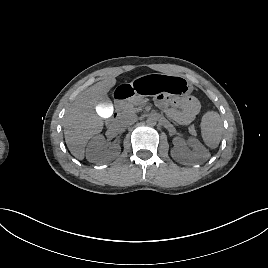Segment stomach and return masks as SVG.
Here are the masks:
<instances>
[{
	"mask_svg": "<svg viewBox=\"0 0 268 268\" xmlns=\"http://www.w3.org/2000/svg\"><path fill=\"white\" fill-rule=\"evenodd\" d=\"M134 93L138 96H151L158 93L184 96L193 91V85L181 75L149 73L135 78L130 83Z\"/></svg>",
	"mask_w": 268,
	"mask_h": 268,
	"instance_id": "stomach-1",
	"label": "stomach"
}]
</instances>
